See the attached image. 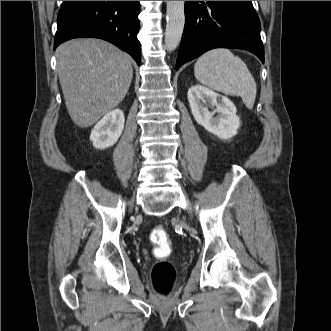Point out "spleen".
<instances>
[{
  "mask_svg": "<svg viewBox=\"0 0 331 331\" xmlns=\"http://www.w3.org/2000/svg\"><path fill=\"white\" fill-rule=\"evenodd\" d=\"M194 75L213 90L241 96L245 106L253 108L256 82L243 60L229 49L216 48L201 55L194 65Z\"/></svg>",
  "mask_w": 331,
  "mask_h": 331,
  "instance_id": "3e777b00",
  "label": "spleen"
}]
</instances>
